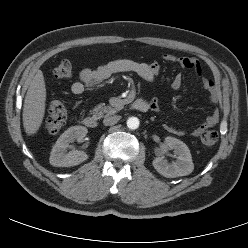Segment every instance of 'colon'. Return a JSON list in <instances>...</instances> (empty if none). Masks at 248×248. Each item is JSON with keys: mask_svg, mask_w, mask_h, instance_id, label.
Returning <instances> with one entry per match:
<instances>
[{"mask_svg": "<svg viewBox=\"0 0 248 248\" xmlns=\"http://www.w3.org/2000/svg\"><path fill=\"white\" fill-rule=\"evenodd\" d=\"M73 72L72 64L69 60H62L53 70V74L58 79H67ZM67 120V110L60 101H53L48 108L45 128L49 133H57ZM202 144L207 147H213L218 141V133L214 130H205L200 136Z\"/></svg>", "mask_w": 248, "mask_h": 248, "instance_id": "5ec220e1", "label": "colon"}]
</instances>
